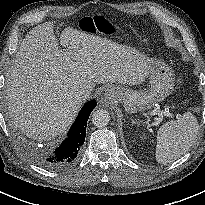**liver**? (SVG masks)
<instances>
[{
	"instance_id": "liver-1",
	"label": "liver",
	"mask_w": 205,
	"mask_h": 205,
	"mask_svg": "<svg viewBox=\"0 0 205 205\" xmlns=\"http://www.w3.org/2000/svg\"><path fill=\"white\" fill-rule=\"evenodd\" d=\"M59 39L66 49L59 48L51 22L33 28L6 79L11 125L39 141L60 135L74 121L82 105L76 90H93L96 83L136 85L148 75V63L127 46L72 27Z\"/></svg>"
}]
</instances>
